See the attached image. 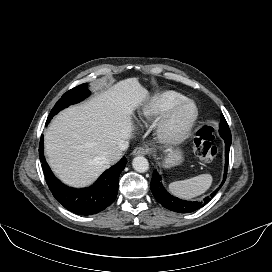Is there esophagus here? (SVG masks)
I'll use <instances>...</instances> for the list:
<instances>
[{
	"instance_id": "34e87169",
	"label": "esophagus",
	"mask_w": 272,
	"mask_h": 272,
	"mask_svg": "<svg viewBox=\"0 0 272 272\" xmlns=\"http://www.w3.org/2000/svg\"><path fill=\"white\" fill-rule=\"evenodd\" d=\"M146 154H147V150L144 147H136L133 150V155L135 156L146 155Z\"/></svg>"
}]
</instances>
